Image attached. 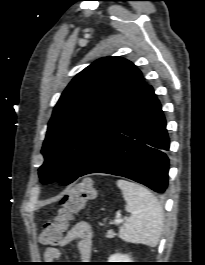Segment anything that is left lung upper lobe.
<instances>
[{
  "label": "left lung upper lobe",
  "mask_w": 205,
  "mask_h": 265,
  "mask_svg": "<svg viewBox=\"0 0 205 265\" xmlns=\"http://www.w3.org/2000/svg\"><path fill=\"white\" fill-rule=\"evenodd\" d=\"M148 85L140 70L120 57H104L69 83L57 102L41 153L43 182H73L134 109Z\"/></svg>",
  "instance_id": "obj_1"
}]
</instances>
